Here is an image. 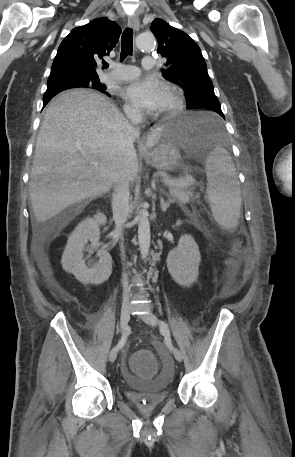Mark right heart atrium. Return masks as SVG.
I'll use <instances>...</instances> for the list:
<instances>
[{
    "label": "right heart atrium",
    "mask_w": 295,
    "mask_h": 457,
    "mask_svg": "<svg viewBox=\"0 0 295 457\" xmlns=\"http://www.w3.org/2000/svg\"><path fill=\"white\" fill-rule=\"evenodd\" d=\"M125 111L128 114V116H130L132 118L141 117V111L137 107H135L133 105L127 104L125 106Z\"/></svg>",
    "instance_id": "obj_1"
}]
</instances>
